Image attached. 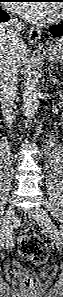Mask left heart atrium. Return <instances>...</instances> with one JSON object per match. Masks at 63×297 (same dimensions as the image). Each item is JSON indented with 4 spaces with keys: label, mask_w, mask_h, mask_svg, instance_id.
Listing matches in <instances>:
<instances>
[{
    "label": "left heart atrium",
    "mask_w": 63,
    "mask_h": 297,
    "mask_svg": "<svg viewBox=\"0 0 63 297\" xmlns=\"http://www.w3.org/2000/svg\"><path fill=\"white\" fill-rule=\"evenodd\" d=\"M9 8L31 21L45 20L52 13L51 8L47 4L11 3Z\"/></svg>",
    "instance_id": "left-heart-atrium-1"
}]
</instances>
